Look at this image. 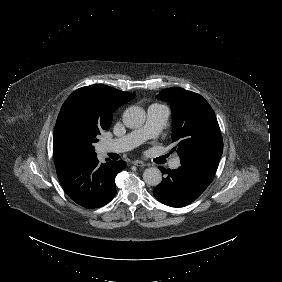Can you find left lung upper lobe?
Returning a JSON list of instances; mask_svg holds the SVG:
<instances>
[{
    "mask_svg": "<svg viewBox=\"0 0 282 282\" xmlns=\"http://www.w3.org/2000/svg\"><path fill=\"white\" fill-rule=\"evenodd\" d=\"M157 97L171 105L173 142L178 146L180 160L196 154L221 156L223 140L215 113L199 94L171 87L160 91Z\"/></svg>",
    "mask_w": 282,
    "mask_h": 282,
    "instance_id": "1",
    "label": "left lung upper lobe"
}]
</instances>
